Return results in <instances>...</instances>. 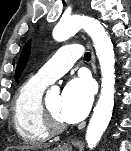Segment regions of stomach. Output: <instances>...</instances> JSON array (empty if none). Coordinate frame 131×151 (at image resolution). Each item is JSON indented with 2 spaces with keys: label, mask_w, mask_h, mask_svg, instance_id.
Listing matches in <instances>:
<instances>
[{
  "label": "stomach",
  "mask_w": 131,
  "mask_h": 151,
  "mask_svg": "<svg viewBox=\"0 0 131 151\" xmlns=\"http://www.w3.org/2000/svg\"><path fill=\"white\" fill-rule=\"evenodd\" d=\"M60 151H71V148L69 147H63L59 149Z\"/></svg>",
  "instance_id": "0dacf381"
}]
</instances>
